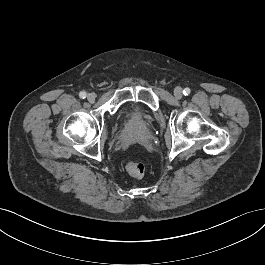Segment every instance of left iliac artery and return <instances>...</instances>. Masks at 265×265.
Masks as SVG:
<instances>
[{
  "label": "left iliac artery",
  "mask_w": 265,
  "mask_h": 265,
  "mask_svg": "<svg viewBox=\"0 0 265 265\" xmlns=\"http://www.w3.org/2000/svg\"><path fill=\"white\" fill-rule=\"evenodd\" d=\"M190 92H191V91H190L189 88H185V89L183 90V94H184V95H188Z\"/></svg>",
  "instance_id": "left-iliac-artery-1"
}]
</instances>
